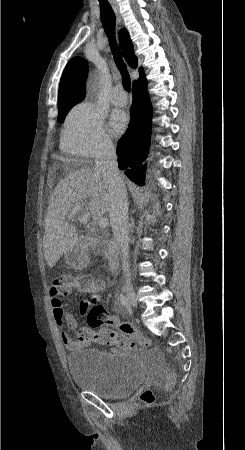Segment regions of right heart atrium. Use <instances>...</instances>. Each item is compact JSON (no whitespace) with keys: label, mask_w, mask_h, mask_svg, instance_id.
<instances>
[{"label":"right heart atrium","mask_w":245,"mask_h":450,"mask_svg":"<svg viewBox=\"0 0 245 450\" xmlns=\"http://www.w3.org/2000/svg\"><path fill=\"white\" fill-rule=\"evenodd\" d=\"M61 147L67 154L86 159L110 151L113 143L102 113L89 102L74 106L65 118Z\"/></svg>","instance_id":"1"}]
</instances>
